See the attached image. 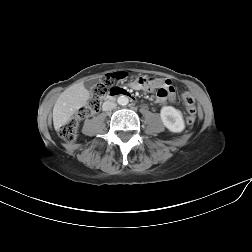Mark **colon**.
I'll return each mask as SVG.
<instances>
[{
    "mask_svg": "<svg viewBox=\"0 0 252 252\" xmlns=\"http://www.w3.org/2000/svg\"><path fill=\"white\" fill-rule=\"evenodd\" d=\"M126 77L127 73L123 71L106 74L100 82L93 87L87 104L60 128L59 134L61 138L67 142H73L77 137L80 121L97 112L105 97L111 95L117 90H121L115 86V83L125 80ZM139 82L144 88L150 87V82L146 78H140ZM182 101L188 112L187 122L192 124L196 119L195 100L190 93L185 92L182 94Z\"/></svg>",
    "mask_w": 252,
    "mask_h": 252,
    "instance_id": "colon-1",
    "label": "colon"
}]
</instances>
